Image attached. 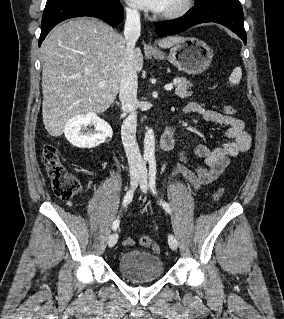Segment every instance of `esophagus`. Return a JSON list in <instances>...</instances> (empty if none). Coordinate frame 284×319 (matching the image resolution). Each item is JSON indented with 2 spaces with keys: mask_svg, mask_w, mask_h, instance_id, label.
<instances>
[{
  "mask_svg": "<svg viewBox=\"0 0 284 319\" xmlns=\"http://www.w3.org/2000/svg\"><path fill=\"white\" fill-rule=\"evenodd\" d=\"M145 48L147 50H149V51H155L156 50L155 46H153L151 43H149Z\"/></svg>",
  "mask_w": 284,
  "mask_h": 319,
  "instance_id": "1",
  "label": "esophagus"
}]
</instances>
